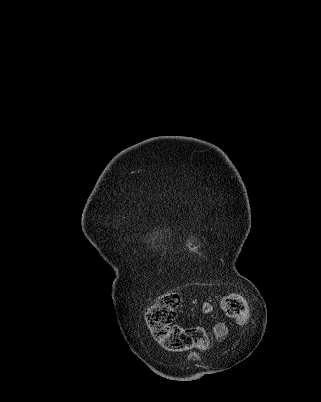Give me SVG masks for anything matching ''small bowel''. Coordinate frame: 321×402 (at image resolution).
I'll use <instances>...</instances> for the list:
<instances>
[{
	"instance_id": "c3829d8e",
	"label": "small bowel",
	"mask_w": 321,
	"mask_h": 402,
	"mask_svg": "<svg viewBox=\"0 0 321 402\" xmlns=\"http://www.w3.org/2000/svg\"><path fill=\"white\" fill-rule=\"evenodd\" d=\"M200 312L203 314H212L214 313V306L210 302H203L200 306ZM212 330L219 340L225 339L230 334L228 326L222 321L216 322Z\"/></svg>"
}]
</instances>
